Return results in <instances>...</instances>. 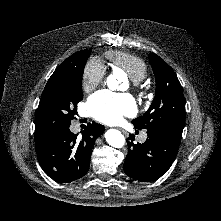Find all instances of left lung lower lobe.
<instances>
[{"label": "left lung lower lobe", "mask_w": 221, "mask_h": 221, "mask_svg": "<svg viewBox=\"0 0 221 221\" xmlns=\"http://www.w3.org/2000/svg\"><path fill=\"white\" fill-rule=\"evenodd\" d=\"M183 128L163 125L147 131L143 144L127 139L129 151L124 162L125 173L138 181L149 182L160 178L170 168L178 152Z\"/></svg>", "instance_id": "obj_1"}]
</instances>
